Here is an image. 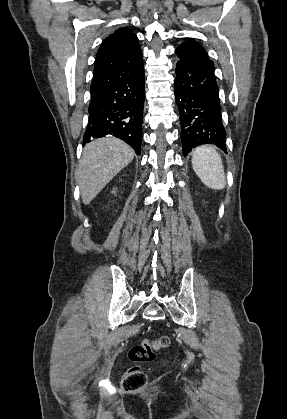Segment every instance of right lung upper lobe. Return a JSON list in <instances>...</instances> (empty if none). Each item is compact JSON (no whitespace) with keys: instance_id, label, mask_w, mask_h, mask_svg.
<instances>
[{"instance_id":"1","label":"right lung upper lobe","mask_w":287,"mask_h":419,"mask_svg":"<svg viewBox=\"0 0 287 419\" xmlns=\"http://www.w3.org/2000/svg\"><path fill=\"white\" fill-rule=\"evenodd\" d=\"M94 65L91 93L135 74L143 67L137 36L125 27L115 31L101 44Z\"/></svg>"}]
</instances>
